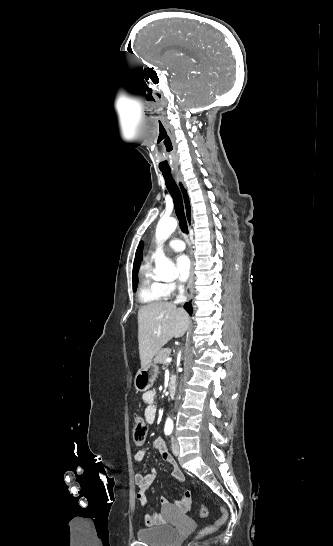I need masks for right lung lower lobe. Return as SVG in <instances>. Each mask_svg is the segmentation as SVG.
Returning <instances> with one entry per match:
<instances>
[{
    "label": "right lung lower lobe",
    "mask_w": 333,
    "mask_h": 546,
    "mask_svg": "<svg viewBox=\"0 0 333 546\" xmlns=\"http://www.w3.org/2000/svg\"><path fill=\"white\" fill-rule=\"evenodd\" d=\"M184 308L187 310V312L192 315V305L191 303H186Z\"/></svg>",
    "instance_id": "right-lung-lower-lobe-1"
}]
</instances>
